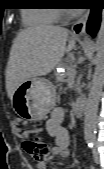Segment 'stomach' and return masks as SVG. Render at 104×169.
Segmentation results:
<instances>
[{
    "label": "stomach",
    "mask_w": 104,
    "mask_h": 169,
    "mask_svg": "<svg viewBox=\"0 0 104 169\" xmlns=\"http://www.w3.org/2000/svg\"><path fill=\"white\" fill-rule=\"evenodd\" d=\"M11 103L15 113L28 121H39L56 105V88L44 78L24 81L14 92Z\"/></svg>",
    "instance_id": "1"
}]
</instances>
